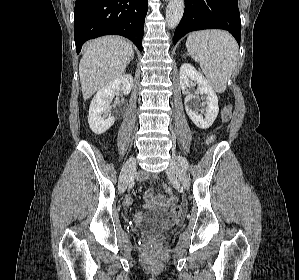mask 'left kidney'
I'll return each instance as SVG.
<instances>
[{
    "mask_svg": "<svg viewBox=\"0 0 299 280\" xmlns=\"http://www.w3.org/2000/svg\"><path fill=\"white\" fill-rule=\"evenodd\" d=\"M192 82L197 83V92L200 95L207 96V107L204 116L198 115V113L193 109L195 107V99L197 97L187 91L188 86H190ZM180 87L186 92L184 101L185 109L190 119L201 129L209 128L215 121L219 112L218 97L211 85L192 65L185 63L180 67Z\"/></svg>",
    "mask_w": 299,
    "mask_h": 280,
    "instance_id": "1",
    "label": "left kidney"
}]
</instances>
